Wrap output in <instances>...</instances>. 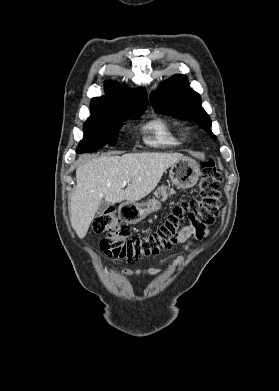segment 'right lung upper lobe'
Returning <instances> with one entry per match:
<instances>
[{"label":"right lung upper lobe","instance_id":"right-lung-upper-lobe-1","mask_svg":"<svg viewBox=\"0 0 279 391\" xmlns=\"http://www.w3.org/2000/svg\"><path fill=\"white\" fill-rule=\"evenodd\" d=\"M147 93L145 88L130 91L115 82L106 84V95L93 98L91 113L133 112L145 108Z\"/></svg>","mask_w":279,"mask_h":391}]
</instances>
